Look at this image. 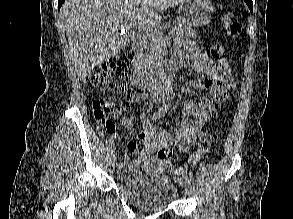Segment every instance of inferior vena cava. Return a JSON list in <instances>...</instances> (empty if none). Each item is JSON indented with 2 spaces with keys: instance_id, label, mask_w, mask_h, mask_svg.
<instances>
[{
  "instance_id": "1",
  "label": "inferior vena cava",
  "mask_w": 293,
  "mask_h": 219,
  "mask_svg": "<svg viewBox=\"0 0 293 219\" xmlns=\"http://www.w3.org/2000/svg\"><path fill=\"white\" fill-rule=\"evenodd\" d=\"M143 74H146L147 75V72L145 71V72H143Z\"/></svg>"
}]
</instances>
